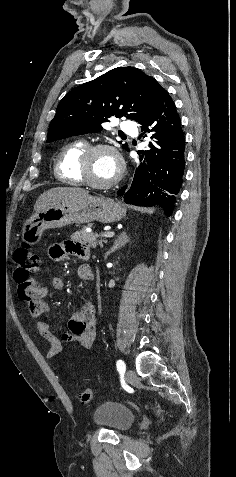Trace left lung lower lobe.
<instances>
[{
    "mask_svg": "<svg viewBox=\"0 0 236 477\" xmlns=\"http://www.w3.org/2000/svg\"><path fill=\"white\" fill-rule=\"evenodd\" d=\"M143 133H150L151 150L139 151L142 163L132 182L118 191L128 204L159 205L166 215L172 213L185 168V138L175 104L162 88L156 106L141 124Z\"/></svg>",
    "mask_w": 236,
    "mask_h": 477,
    "instance_id": "left-lung-lower-lobe-1",
    "label": "left lung lower lobe"
}]
</instances>
